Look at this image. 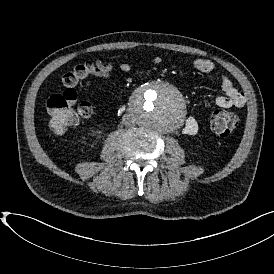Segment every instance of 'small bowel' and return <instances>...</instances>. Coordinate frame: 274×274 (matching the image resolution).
I'll list each match as a JSON object with an SVG mask.
<instances>
[{
	"instance_id": "1",
	"label": "small bowel",
	"mask_w": 274,
	"mask_h": 274,
	"mask_svg": "<svg viewBox=\"0 0 274 274\" xmlns=\"http://www.w3.org/2000/svg\"><path fill=\"white\" fill-rule=\"evenodd\" d=\"M163 62L162 56H154L151 59L153 65H160ZM193 67L198 71L211 75L215 71V64L210 59L199 58L193 62ZM117 69L123 73H129L133 70V66L128 62H121L118 64ZM115 67L110 63H102L97 67L90 70L89 75L98 77L105 80L111 79ZM220 83L224 92L223 96H219L213 101L207 103L208 107L217 106L220 108H241L246 103V96L243 91L234 86L230 77L226 74L220 76ZM199 124L195 116H189L184 124L183 131L186 135H195L198 132Z\"/></svg>"
}]
</instances>
